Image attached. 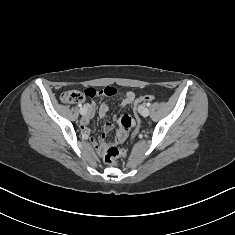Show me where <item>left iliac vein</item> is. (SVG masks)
<instances>
[{"mask_svg": "<svg viewBox=\"0 0 235 235\" xmlns=\"http://www.w3.org/2000/svg\"><path fill=\"white\" fill-rule=\"evenodd\" d=\"M141 114L143 117H147L149 115V109L147 107H144L141 111Z\"/></svg>", "mask_w": 235, "mask_h": 235, "instance_id": "obj_1", "label": "left iliac vein"}]
</instances>
